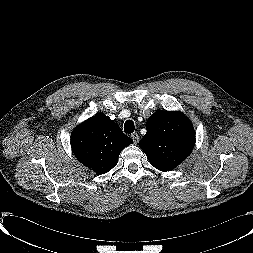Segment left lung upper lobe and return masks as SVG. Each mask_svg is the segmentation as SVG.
<instances>
[{"label":"left lung upper lobe","instance_id":"1","mask_svg":"<svg viewBox=\"0 0 253 253\" xmlns=\"http://www.w3.org/2000/svg\"><path fill=\"white\" fill-rule=\"evenodd\" d=\"M146 129L139 146L149 162L160 171L174 169L194 147V128L180 112L159 110L149 117Z\"/></svg>","mask_w":253,"mask_h":253}]
</instances>
